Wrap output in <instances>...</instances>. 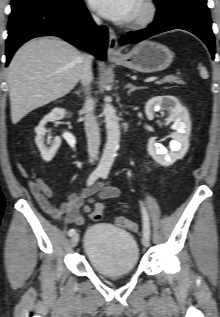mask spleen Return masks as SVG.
<instances>
[{
	"label": "spleen",
	"mask_w": 220,
	"mask_h": 317,
	"mask_svg": "<svg viewBox=\"0 0 220 317\" xmlns=\"http://www.w3.org/2000/svg\"><path fill=\"white\" fill-rule=\"evenodd\" d=\"M198 69L200 70V74L203 78L208 77V74H207L205 67H203L201 64H199Z\"/></svg>",
	"instance_id": "1"
}]
</instances>
